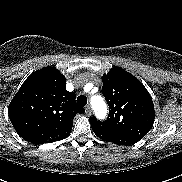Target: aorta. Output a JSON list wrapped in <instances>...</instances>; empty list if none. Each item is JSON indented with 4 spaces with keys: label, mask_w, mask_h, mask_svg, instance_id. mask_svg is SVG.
<instances>
[{
    "label": "aorta",
    "mask_w": 182,
    "mask_h": 182,
    "mask_svg": "<svg viewBox=\"0 0 182 182\" xmlns=\"http://www.w3.org/2000/svg\"><path fill=\"white\" fill-rule=\"evenodd\" d=\"M92 105H93L96 115L100 119H104L107 114V106H106L105 102L103 101L102 97H100V96L93 97Z\"/></svg>",
    "instance_id": "aorta-1"
}]
</instances>
